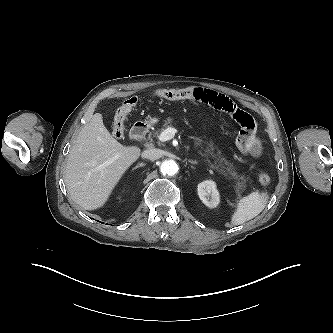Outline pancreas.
Here are the masks:
<instances>
[{"label":"pancreas","mask_w":333,"mask_h":333,"mask_svg":"<svg viewBox=\"0 0 333 333\" xmlns=\"http://www.w3.org/2000/svg\"><path fill=\"white\" fill-rule=\"evenodd\" d=\"M170 127V121H165L163 127L160 129L161 132H163L165 129ZM159 131H155L153 133H149V139H152V137H157ZM196 147L202 145V140L199 138H194ZM204 156H209L211 158L215 159V163L217 164V167L220 168V172L227 175L230 174L235 180V191L238 195H240L245 187H246V180L243 176H239L237 172L235 171L233 165L229 163L225 158L220 157L218 154L214 153V147L212 143H208L206 149L204 150ZM201 153V152H200ZM202 154V153H201Z\"/></svg>","instance_id":"pancreas-1"}]
</instances>
